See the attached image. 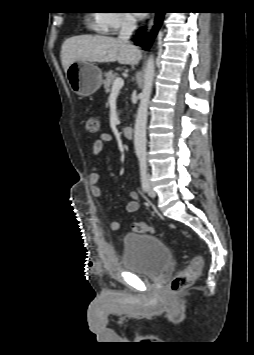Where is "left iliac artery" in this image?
<instances>
[{
    "label": "left iliac artery",
    "mask_w": 254,
    "mask_h": 355,
    "mask_svg": "<svg viewBox=\"0 0 254 355\" xmlns=\"http://www.w3.org/2000/svg\"><path fill=\"white\" fill-rule=\"evenodd\" d=\"M140 161V174H141V183L143 191H146L148 188V174H147V160L145 156L139 157Z\"/></svg>",
    "instance_id": "left-iliac-artery-1"
}]
</instances>
